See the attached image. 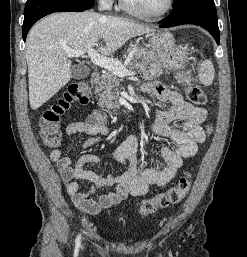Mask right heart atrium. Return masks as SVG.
Instances as JSON below:
<instances>
[{"label": "right heart atrium", "instance_id": "obj_1", "mask_svg": "<svg viewBox=\"0 0 247 257\" xmlns=\"http://www.w3.org/2000/svg\"><path fill=\"white\" fill-rule=\"evenodd\" d=\"M101 2V4L107 8L111 7L115 0H99Z\"/></svg>", "mask_w": 247, "mask_h": 257}]
</instances>
